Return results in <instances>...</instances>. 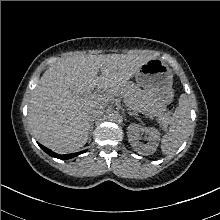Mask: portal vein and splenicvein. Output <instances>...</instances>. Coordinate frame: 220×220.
<instances>
[{
  "label": "portal vein and splenic vein",
  "mask_w": 220,
  "mask_h": 220,
  "mask_svg": "<svg viewBox=\"0 0 220 220\" xmlns=\"http://www.w3.org/2000/svg\"><path fill=\"white\" fill-rule=\"evenodd\" d=\"M90 95H91V96H94V95H95V93H93V94H92V93H90Z\"/></svg>",
  "instance_id": "1"
}]
</instances>
